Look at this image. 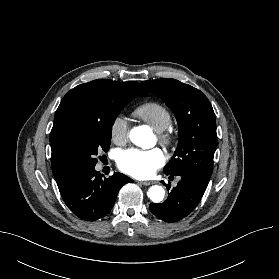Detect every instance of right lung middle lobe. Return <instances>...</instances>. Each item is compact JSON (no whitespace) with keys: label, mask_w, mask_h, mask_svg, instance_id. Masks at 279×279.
<instances>
[{"label":"right lung middle lobe","mask_w":279,"mask_h":279,"mask_svg":"<svg viewBox=\"0 0 279 279\" xmlns=\"http://www.w3.org/2000/svg\"><path fill=\"white\" fill-rule=\"evenodd\" d=\"M136 96L120 95L106 102L99 119L89 122L72 135L71 156L76 170L95 167L99 152L110 147L111 128L115 118Z\"/></svg>","instance_id":"dd1d6c3e"}]
</instances>
